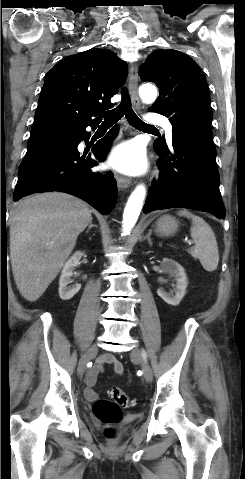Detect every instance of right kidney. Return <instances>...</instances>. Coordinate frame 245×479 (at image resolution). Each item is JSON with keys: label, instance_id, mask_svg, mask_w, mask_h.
Wrapping results in <instances>:
<instances>
[{"label": "right kidney", "instance_id": "ca27d5eb", "mask_svg": "<svg viewBox=\"0 0 245 479\" xmlns=\"http://www.w3.org/2000/svg\"><path fill=\"white\" fill-rule=\"evenodd\" d=\"M83 255V252H75L64 265L59 279V296L62 300H70L81 288V284H76L73 287H69L68 284Z\"/></svg>", "mask_w": 245, "mask_h": 479}]
</instances>
